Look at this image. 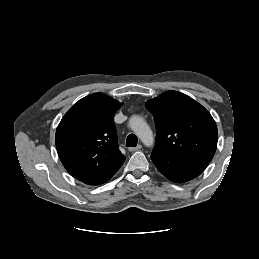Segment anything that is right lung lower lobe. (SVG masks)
Segmentation results:
<instances>
[{
    "label": "right lung lower lobe",
    "instance_id": "obj_1",
    "mask_svg": "<svg viewBox=\"0 0 259 259\" xmlns=\"http://www.w3.org/2000/svg\"><path fill=\"white\" fill-rule=\"evenodd\" d=\"M120 168V167H119ZM117 168L116 170H114L113 172H111L110 174L100 178V179H97V180H93V181H88V182H84L86 184H89V185H100V184H103L105 183L106 181H108L116 172L117 170L119 169Z\"/></svg>",
    "mask_w": 259,
    "mask_h": 259
}]
</instances>
